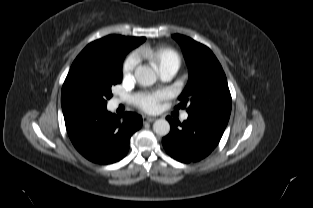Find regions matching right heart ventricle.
Instances as JSON below:
<instances>
[{
  "mask_svg": "<svg viewBox=\"0 0 313 208\" xmlns=\"http://www.w3.org/2000/svg\"><path fill=\"white\" fill-rule=\"evenodd\" d=\"M140 54L152 62L159 72L167 68L178 69L181 64L179 54L170 48L164 47H143L140 49Z\"/></svg>",
  "mask_w": 313,
  "mask_h": 208,
  "instance_id": "obj_1",
  "label": "right heart ventricle"
}]
</instances>
